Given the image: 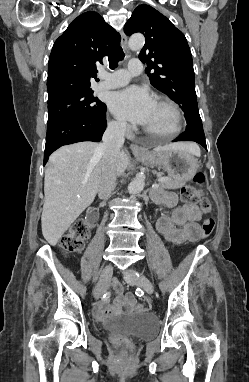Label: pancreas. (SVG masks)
Returning <instances> with one entry per match:
<instances>
[{
	"instance_id": "pancreas-1",
	"label": "pancreas",
	"mask_w": 249,
	"mask_h": 382,
	"mask_svg": "<svg viewBox=\"0 0 249 382\" xmlns=\"http://www.w3.org/2000/svg\"><path fill=\"white\" fill-rule=\"evenodd\" d=\"M157 177H164L167 178L166 181L159 182V187L157 190H164V189H179L183 185H185V181L181 178L177 177H171V176H163L162 172L156 173Z\"/></svg>"
}]
</instances>
